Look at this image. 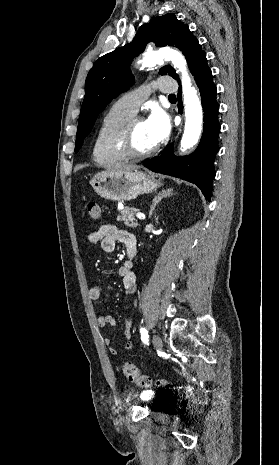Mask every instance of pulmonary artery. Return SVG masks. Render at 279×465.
Masks as SVG:
<instances>
[{
  "label": "pulmonary artery",
  "mask_w": 279,
  "mask_h": 465,
  "mask_svg": "<svg viewBox=\"0 0 279 465\" xmlns=\"http://www.w3.org/2000/svg\"><path fill=\"white\" fill-rule=\"evenodd\" d=\"M152 89H157L162 93L172 94L176 91V86L169 78H159L156 82L152 83V85H145L124 94L118 99L117 103L134 114L148 98Z\"/></svg>",
  "instance_id": "pulmonary-artery-1"
}]
</instances>
